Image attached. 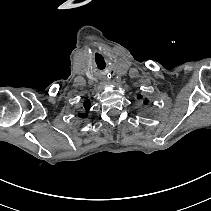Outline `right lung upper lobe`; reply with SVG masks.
<instances>
[{"label":"right lung upper lobe","mask_w":211,"mask_h":211,"mask_svg":"<svg viewBox=\"0 0 211 211\" xmlns=\"http://www.w3.org/2000/svg\"><path fill=\"white\" fill-rule=\"evenodd\" d=\"M89 106H90V101L89 100H86L85 103H84V108L85 109H88ZM79 116L84 118V117H86V114H81L80 113Z\"/></svg>","instance_id":"right-lung-upper-lobe-1"}]
</instances>
